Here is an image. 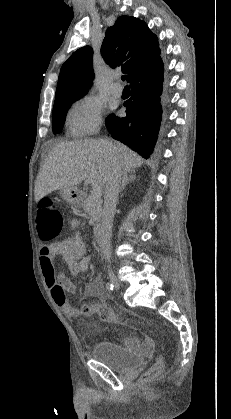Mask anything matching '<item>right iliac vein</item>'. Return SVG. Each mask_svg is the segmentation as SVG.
Returning a JSON list of instances; mask_svg holds the SVG:
<instances>
[{"label": "right iliac vein", "instance_id": "obj_1", "mask_svg": "<svg viewBox=\"0 0 231 419\" xmlns=\"http://www.w3.org/2000/svg\"><path fill=\"white\" fill-rule=\"evenodd\" d=\"M108 274H109V279H110L111 283L119 288L120 287V282H119L118 278L116 277V275L112 271H109Z\"/></svg>", "mask_w": 231, "mask_h": 419}]
</instances>
